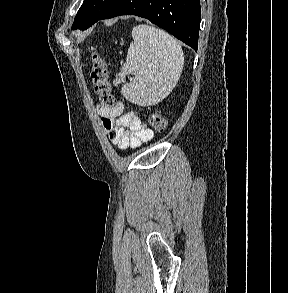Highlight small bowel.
Instances as JSON below:
<instances>
[{
	"label": "small bowel",
	"instance_id": "small-bowel-1",
	"mask_svg": "<svg viewBox=\"0 0 288 293\" xmlns=\"http://www.w3.org/2000/svg\"><path fill=\"white\" fill-rule=\"evenodd\" d=\"M98 114L112 144L125 150L138 148L153 139V131L132 112H124V104L118 100L111 107L98 105Z\"/></svg>",
	"mask_w": 288,
	"mask_h": 293
}]
</instances>
